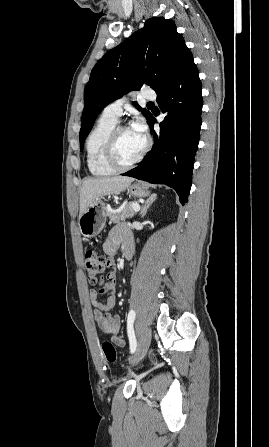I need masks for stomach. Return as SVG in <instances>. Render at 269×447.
<instances>
[{
  "label": "stomach",
  "mask_w": 269,
  "mask_h": 447,
  "mask_svg": "<svg viewBox=\"0 0 269 447\" xmlns=\"http://www.w3.org/2000/svg\"><path fill=\"white\" fill-rule=\"evenodd\" d=\"M149 184H132L129 188H126L128 194L130 196H134V198H146L149 196L150 192H148ZM106 196H100V198H96L92 204H90L89 208H87L86 212L82 214L81 218H79V227L80 233L84 235V237H94V235H98L101 229H103L106 222Z\"/></svg>",
  "instance_id": "0dacf381"
}]
</instances>
